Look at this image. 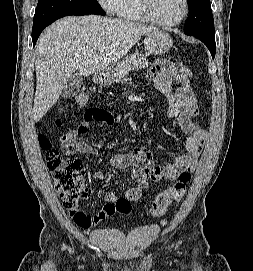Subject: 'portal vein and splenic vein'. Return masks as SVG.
Here are the masks:
<instances>
[{
  "label": "portal vein and splenic vein",
  "instance_id": "18ae733b",
  "mask_svg": "<svg viewBox=\"0 0 253 271\" xmlns=\"http://www.w3.org/2000/svg\"><path fill=\"white\" fill-rule=\"evenodd\" d=\"M99 52L100 53L104 52V48L99 49Z\"/></svg>",
  "mask_w": 253,
  "mask_h": 271
}]
</instances>
